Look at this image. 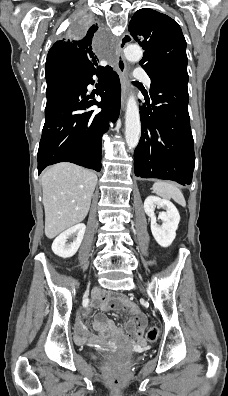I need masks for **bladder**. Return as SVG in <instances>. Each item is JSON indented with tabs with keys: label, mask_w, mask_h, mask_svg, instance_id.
<instances>
[{
	"label": "bladder",
	"mask_w": 228,
	"mask_h": 396,
	"mask_svg": "<svg viewBox=\"0 0 228 396\" xmlns=\"http://www.w3.org/2000/svg\"><path fill=\"white\" fill-rule=\"evenodd\" d=\"M88 356H89L90 358H92V359H97V358H98V356H97L95 353H93V352H89V353H88Z\"/></svg>",
	"instance_id": "bladder-1"
}]
</instances>
